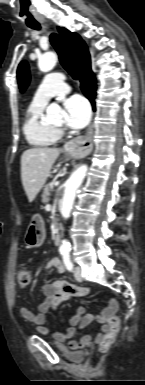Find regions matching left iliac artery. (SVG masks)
<instances>
[{"mask_svg":"<svg viewBox=\"0 0 145 385\" xmlns=\"http://www.w3.org/2000/svg\"><path fill=\"white\" fill-rule=\"evenodd\" d=\"M61 254H62L63 262H64L67 270L72 271L73 263L71 262L69 252L68 251H62Z\"/></svg>","mask_w":145,"mask_h":385,"instance_id":"obj_1","label":"left iliac artery"}]
</instances>
